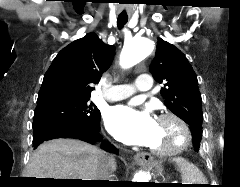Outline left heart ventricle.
Instances as JSON below:
<instances>
[{
    "instance_id": "1",
    "label": "left heart ventricle",
    "mask_w": 240,
    "mask_h": 187,
    "mask_svg": "<svg viewBox=\"0 0 240 187\" xmlns=\"http://www.w3.org/2000/svg\"><path fill=\"white\" fill-rule=\"evenodd\" d=\"M180 139L177 126L171 120L157 122V133L150 148L163 149L175 145Z\"/></svg>"
}]
</instances>
